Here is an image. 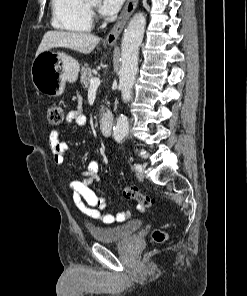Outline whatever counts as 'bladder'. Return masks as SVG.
Listing matches in <instances>:
<instances>
[{"mask_svg": "<svg viewBox=\"0 0 247 296\" xmlns=\"http://www.w3.org/2000/svg\"><path fill=\"white\" fill-rule=\"evenodd\" d=\"M143 227L141 220H130L116 226L89 227L94 240L102 243L121 241L129 238Z\"/></svg>", "mask_w": 247, "mask_h": 296, "instance_id": "1", "label": "bladder"}]
</instances>
